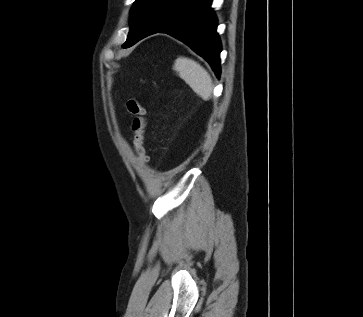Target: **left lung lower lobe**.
<instances>
[{
    "label": "left lung lower lobe",
    "instance_id": "obj_1",
    "mask_svg": "<svg viewBox=\"0 0 363 317\" xmlns=\"http://www.w3.org/2000/svg\"><path fill=\"white\" fill-rule=\"evenodd\" d=\"M211 2L212 0H158L149 23L137 42L151 34L167 33L186 43L208 61L219 78L221 43L216 33L217 19L210 8Z\"/></svg>",
    "mask_w": 363,
    "mask_h": 317
}]
</instances>
